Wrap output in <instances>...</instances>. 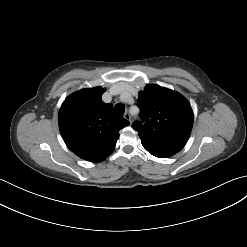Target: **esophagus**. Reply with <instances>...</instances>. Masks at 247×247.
I'll use <instances>...</instances> for the list:
<instances>
[{"instance_id":"1","label":"esophagus","mask_w":247,"mask_h":247,"mask_svg":"<svg viewBox=\"0 0 247 247\" xmlns=\"http://www.w3.org/2000/svg\"><path fill=\"white\" fill-rule=\"evenodd\" d=\"M124 118L127 119L129 122H131V116L129 113H125Z\"/></svg>"}]
</instances>
